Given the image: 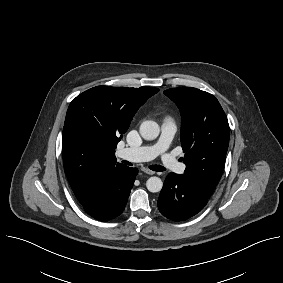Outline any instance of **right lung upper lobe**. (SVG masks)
<instances>
[{
  "mask_svg": "<svg viewBox=\"0 0 283 283\" xmlns=\"http://www.w3.org/2000/svg\"><path fill=\"white\" fill-rule=\"evenodd\" d=\"M159 89L152 87L126 88L97 86L79 96L98 115L100 135L90 137L78 131L67 111L62 136L64 169L70 186L83 202L89 195L95 179L105 169L117 163L115 148L139 107Z\"/></svg>",
  "mask_w": 283,
  "mask_h": 283,
  "instance_id": "cb5924a9",
  "label": "right lung upper lobe"
}]
</instances>
